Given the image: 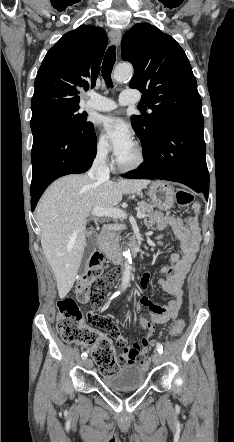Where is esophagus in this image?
<instances>
[{
	"instance_id": "obj_1",
	"label": "esophagus",
	"mask_w": 234,
	"mask_h": 442,
	"mask_svg": "<svg viewBox=\"0 0 234 442\" xmlns=\"http://www.w3.org/2000/svg\"><path fill=\"white\" fill-rule=\"evenodd\" d=\"M122 33L120 30H112L110 32L111 42L118 48L121 42Z\"/></svg>"
}]
</instances>
